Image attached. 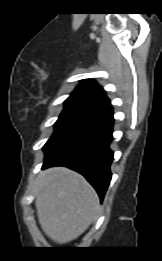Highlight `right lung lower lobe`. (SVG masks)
Segmentation results:
<instances>
[{
    "mask_svg": "<svg viewBox=\"0 0 162 261\" xmlns=\"http://www.w3.org/2000/svg\"><path fill=\"white\" fill-rule=\"evenodd\" d=\"M112 106L85 116L55 133L45 144L44 165L66 166L82 174L101 201L111 180Z\"/></svg>",
    "mask_w": 162,
    "mask_h": 261,
    "instance_id": "obj_1",
    "label": "right lung lower lobe"
}]
</instances>
